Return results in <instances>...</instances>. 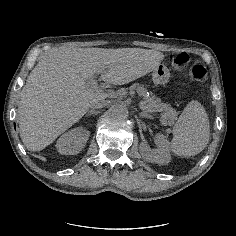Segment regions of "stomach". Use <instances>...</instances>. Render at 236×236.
<instances>
[{
  "label": "stomach",
  "mask_w": 236,
  "mask_h": 236,
  "mask_svg": "<svg viewBox=\"0 0 236 236\" xmlns=\"http://www.w3.org/2000/svg\"><path fill=\"white\" fill-rule=\"evenodd\" d=\"M170 78L169 70L166 66H158L152 73V80L155 85H164Z\"/></svg>",
  "instance_id": "1"
}]
</instances>
